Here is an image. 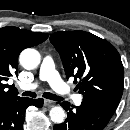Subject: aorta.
<instances>
[{
	"mask_svg": "<svg viewBox=\"0 0 130 130\" xmlns=\"http://www.w3.org/2000/svg\"><path fill=\"white\" fill-rule=\"evenodd\" d=\"M19 61L23 68L27 70L34 69L40 64V53L35 49L27 48L21 52ZM49 115L51 120L57 124L62 123L66 116L64 109L60 106L53 107Z\"/></svg>",
	"mask_w": 130,
	"mask_h": 130,
	"instance_id": "aorta-1",
	"label": "aorta"
}]
</instances>
